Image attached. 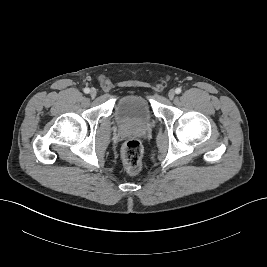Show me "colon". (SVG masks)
Wrapping results in <instances>:
<instances>
[{
    "mask_svg": "<svg viewBox=\"0 0 267 267\" xmlns=\"http://www.w3.org/2000/svg\"><path fill=\"white\" fill-rule=\"evenodd\" d=\"M143 149L141 143L136 139L128 140L122 149V158L125 170L136 175L142 168Z\"/></svg>",
    "mask_w": 267,
    "mask_h": 267,
    "instance_id": "1",
    "label": "colon"
}]
</instances>
